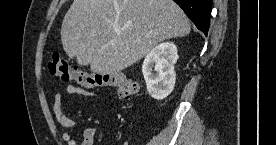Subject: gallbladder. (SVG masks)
I'll use <instances>...</instances> for the list:
<instances>
[{
    "mask_svg": "<svg viewBox=\"0 0 276 145\" xmlns=\"http://www.w3.org/2000/svg\"><path fill=\"white\" fill-rule=\"evenodd\" d=\"M77 61H78V64L81 65V66L88 65V62L81 56L77 58Z\"/></svg>",
    "mask_w": 276,
    "mask_h": 145,
    "instance_id": "bac80fb5",
    "label": "gallbladder"
}]
</instances>
